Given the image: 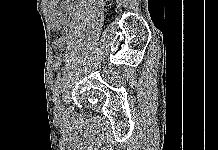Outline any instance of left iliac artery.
I'll return each mask as SVG.
<instances>
[{
	"label": "left iliac artery",
	"instance_id": "44dca946",
	"mask_svg": "<svg viewBox=\"0 0 218 150\" xmlns=\"http://www.w3.org/2000/svg\"><path fill=\"white\" fill-rule=\"evenodd\" d=\"M64 78L58 79L53 88V100L56 101L64 88Z\"/></svg>",
	"mask_w": 218,
	"mask_h": 150
}]
</instances>
